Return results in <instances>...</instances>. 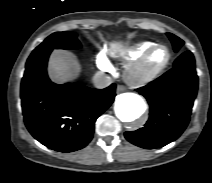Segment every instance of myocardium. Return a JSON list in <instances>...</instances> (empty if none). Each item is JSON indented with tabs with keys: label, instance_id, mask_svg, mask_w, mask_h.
<instances>
[{
	"label": "myocardium",
	"instance_id": "f54148a6",
	"mask_svg": "<svg viewBox=\"0 0 212 183\" xmlns=\"http://www.w3.org/2000/svg\"><path fill=\"white\" fill-rule=\"evenodd\" d=\"M157 48H165L168 53L166 61L157 69L150 72H143L142 68L147 62L151 53ZM172 60V53L170 48L165 44H155L147 49L139 58L132 61L125 70L126 81L135 87L145 86L155 79H157L170 65Z\"/></svg>",
	"mask_w": 212,
	"mask_h": 183
}]
</instances>
